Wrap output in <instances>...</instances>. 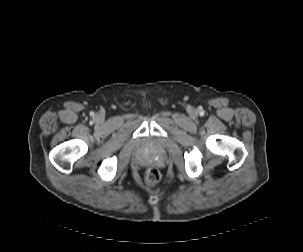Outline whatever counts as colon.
Wrapping results in <instances>:
<instances>
[{"mask_svg": "<svg viewBox=\"0 0 303 252\" xmlns=\"http://www.w3.org/2000/svg\"><path fill=\"white\" fill-rule=\"evenodd\" d=\"M160 180V172L156 168H149L145 174V181L148 185L153 186Z\"/></svg>", "mask_w": 303, "mask_h": 252, "instance_id": "obj_1", "label": "colon"}]
</instances>
